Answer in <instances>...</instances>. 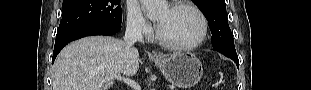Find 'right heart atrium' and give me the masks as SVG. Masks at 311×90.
I'll list each match as a JSON object with an SVG mask.
<instances>
[{
  "instance_id": "d8ad5b80",
  "label": "right heart atrium",
  "mask_w": 311,
  "mask_h": 90,
  "mask_svg": "<svg viewBox=\"0 0 311 90\" xmlns=\"http://www.w3.org/2000/svg\"><path fill=\"white\" fill-rule=\"evenodd\" d=\"M127 28L130 32L147 36L151 33V26L144 17L139 5L130 2L127 8Z\"/></svg>"
}]
</instances>
